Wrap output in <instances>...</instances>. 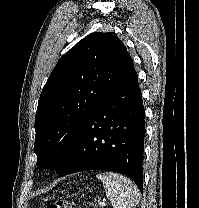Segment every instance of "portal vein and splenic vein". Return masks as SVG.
<instances>
[{
  "instance_id": "1",
  "label": "portal vein and splenic vein",
  "mask_w": 199,
  "mask_h": 208,
  "mask_svg": "<svg viewBox=\"0 0 199 208\" xmlns=\"http://www.w3.org/2000/svg\"><path fill=\"white\" fill-rule=\"evenodd\" d=\"M99 204H100L101 207H105L106 206V200L105 199L102 200Z\"/></svg>"
}]
</instances>
